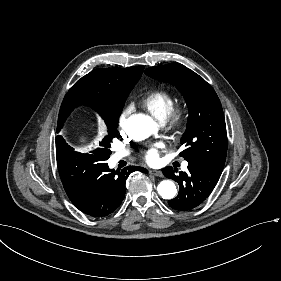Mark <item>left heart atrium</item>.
<instances>
[{"label": "left heart atrium", "instance_id": "39dd6f15", "mask_svg": "<svg viewBox=\"0 0 281 281\" xmlns=\"http://www.w3.org/2000/svg\"><path fill=\"white\" fill-rule=\"evenodd\" d=\"M163 148L162 143H157L140 152V156L149 164H157L160 160L159 152Z\"/></svg>", "mask_w": 281, "mask_h": 281}]
</instances>
